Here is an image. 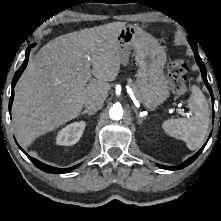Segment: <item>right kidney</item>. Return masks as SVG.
I'll return each mask as SVG.
<instances>
[{"instance_id": "ca27d5eb", "label": "right kidney", "mask_w": 221, "mask_h": 221, "mask_svg": "<svg viewBox=\"0 0 221 221\" xmlns=\"http://www.w3.org/2000/svg\"><path fill=\"white\" fill-rule=\"evenodd\" d=\"M84 121L74 122L61 129L56 136V144L63 146H71L76 144L85 129Z\"/></svg>"}]
</instances>
